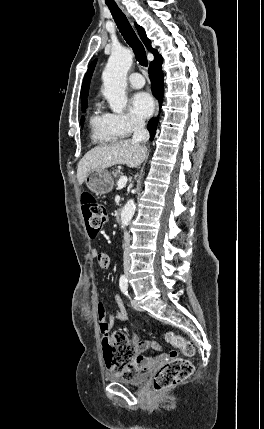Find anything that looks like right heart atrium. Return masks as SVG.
<instances>
[{
	"mask_svg": "<svg viewBox=\"0 0 264 429\" xmlns=\"http://www.w3.org/2000/svg\"><path fill=\"white\" fill-rule=\"evenodd\" d=\"M114 127L121 135L126 137L142 126V121L129 113H110Z\"/></svg>",
	"mask_w": 264,
	"mask_h": 429,
	"instance_id": "1",
	"label": "right heart atrium"
}]
</instances>
